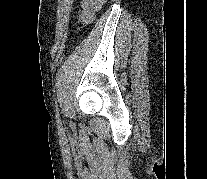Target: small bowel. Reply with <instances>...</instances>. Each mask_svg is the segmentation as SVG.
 <instances>
[{
	"instance_id": "obj_1",
	"label": "small bowel",
	"mask_w": 207,
	"mask_h": 179,
	"mask_svg": "<svg viewBox=\"0 0 207 179\" xmlns=\"http://www.w3.org/2000/svg\"><path fill=\"white\" fill-rule=\"evenodd\" d=\"M106 0H82L81 2V20L83 23H89L92 20L95 11L99 10Z\"/></svg>"
}]
</instances>
